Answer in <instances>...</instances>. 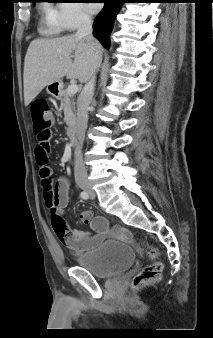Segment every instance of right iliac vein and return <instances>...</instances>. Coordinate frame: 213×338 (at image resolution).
Here are the masks:
<instances>
[{
  "mask_svg": "<svg viewBox=\"0 0 213 338\" xmlns=\"http://www.w3.org/2000/svg\"><path fill=\"white\" fill-rule=\"evenodd\" d=\"M80 187H81L83 190H85V191L90 190V186L87 185V184H82V185H80Z\"/></svg>",
  "mask_w": 213,
  "mask_h": 338,
  "instance_id": "obj_1",
  "label": "right iliac vein"
}]
</instances>
